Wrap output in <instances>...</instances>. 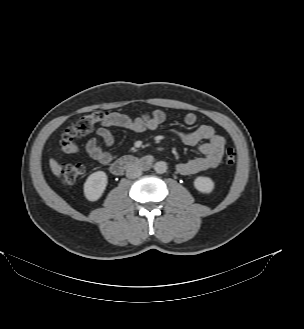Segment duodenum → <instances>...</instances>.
Listing matches in <instances>:
<instances>
[{
	"instance_id": "1",
	"label": "duodenum",
	"mask_w": 304,
	"mask_h": 329,
	"mask_svg": "<svg viewBox=\"0 0 304 329\" xmlns=\"http://www.w3.org/2000/svg\"><path fill=\"white\" fill-rule=\"evenodd\" d=\"M151 163V157L139 159L134 156H125L116 160L110 167L114 175H121L132 168H145Z\"/></svg>"
}]
</instances>
